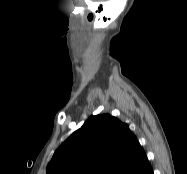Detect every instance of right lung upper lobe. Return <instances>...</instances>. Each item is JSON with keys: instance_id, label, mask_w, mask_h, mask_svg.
<instances>
[{"instance_id": "right-lung-upper-lobe-1", "label": "right lung upper lobe", "mask_w": 187, "mask_h": 174, "mask_svg": "<svg viewBox=\"0 0 187 174\" xmlns=\"http://www.w3.org/2000/svg\"><path fill=\"white\" fill-rule=\"evenodd\" d=\"M145 152L127 124L91 116L54 153L46 174H148Z\"/></svg>"}]
</instances>
